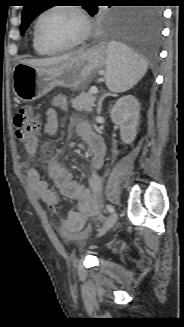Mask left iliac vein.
Returning <instances> with one entry per match:
<instances>
[{
	"mask_svg": "<svg viewBox=\"0 0 184 327\" xmlns=\"http://www.w3.org/2000/svg\"><path fill=\"white\" fill-rule=\"evenodd\" d=\"M117 220H118V213L114 212L110 216L106 224L100 229L98 236H102L105 233H107L116 224Z\"/></svg>",
	"mask_w": 184,
	"mask_h": 327,
	"instance_id": "1",
	"label": "left iliac vein"
}]
</instances>
